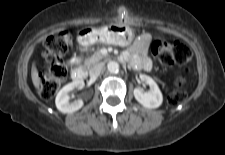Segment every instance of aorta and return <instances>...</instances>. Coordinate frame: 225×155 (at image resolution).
<instances>
[{
	"instance_id": "762f6f07",
	"label": "aorta",
	"mask_w": 225,
	"mask_h": 155,
	"mask_svg": "<svg viewBox=\"0 0 225 155\" xmlns=\"http://www.w3.org/2000/svg\"><path fill=\"white\" fill-rule=\"evenodd\" d=\"M107 70L110 73H117L119 71V64H118V62H116V61H110L107 64Z\"/></svg>"
}]
</instances>
